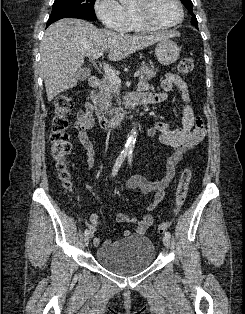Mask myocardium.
Wrapping results in <instances>:
<instances>
[{"mask_svg": "<svg viewBox=\"0 0 245 314\" xmlns=\"http://www.w3.org/2000/svg\"><path fill=\"white\" fill-rule=\"evenodd\" d=\"M144 5H147L150 0H141ZM179 7L181 17L180 19L175 22V23H170V24H165V23H159L154 21L147 13L145 7L144 8H136L132 7V11L134 14L135 19L141 23L142 25L151 27L153 29H168V28H173L181 24L185 18V10L182 2L180 0H174Z\"/></svg>", "mask_w": 245, "mask_h": 314, "instance_id": "myocardium-1", "label": "myocardium"}]
</instances>
